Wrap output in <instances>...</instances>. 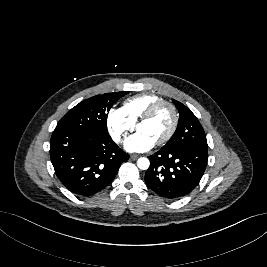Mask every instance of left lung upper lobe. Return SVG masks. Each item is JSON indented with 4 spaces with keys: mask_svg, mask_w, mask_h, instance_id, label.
Wrapping results in <instances>:
<instances>
[{
    "mask_svg": "<svg viewBox=\"0 0 267 267\" xmlns=\"http://www.w3.org/2000/svg\"><path fill=\"white\" fill-rule=\"evenodd\" d=\"M179 111V123L170 140L162 149H173L185 146L208 148L205 132L192 111L181 102L173 100Z\"/></svg>",
    "mask_w": 267,
    "mask_h": 267,
    "instance_id": "obj_1",
    "label": "left lung upper lobe"
}]
</instances>
